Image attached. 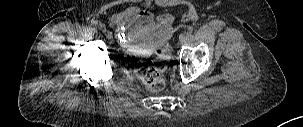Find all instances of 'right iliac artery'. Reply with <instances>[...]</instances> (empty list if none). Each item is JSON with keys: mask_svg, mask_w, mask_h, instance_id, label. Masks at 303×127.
Wrapping results in <instances>:
<instances>
[{"mask_svg": "<svg viewBox=\"0 0 303 127\" xmlns=\"http://www.w3.org/2000/svg\"><path fill=\"white\" fill-rule=\"evenodd\" d=\"M93 23L99 30H101L103 32L106 30L105 26L103 24L99 23L98 21H94Z\"/></svg>", "mask_w": 303, "mask_h": 127, "instance_id": "82829eb1", "label": "right iliac artery"}]
</instances>
